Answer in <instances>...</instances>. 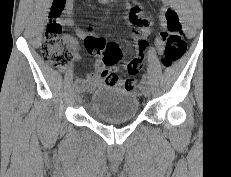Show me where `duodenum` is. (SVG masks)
<instances>
[{
  "label": "duodenum",
  "mask_w": 231,
  "mask_h": 177,
  "mask_svg": "<svg viewBox=\"0 0 231 177\" xmlns=\"http://www.w3.org/2000/svg\"><path fill=\"white\" fill-rule=\"evenodd\" d=\"M101 1L105 2V1H108V0H101Z\"/></svg>",
  "instance_id": "duodenum-1"
}]
</instances>
